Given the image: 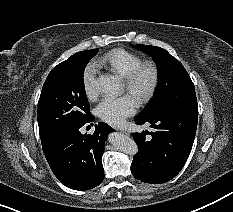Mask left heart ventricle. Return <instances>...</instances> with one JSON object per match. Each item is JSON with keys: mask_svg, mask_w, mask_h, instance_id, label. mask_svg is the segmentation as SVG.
I'll list each match as a JSON object with an SVG mask.
<instances>
[{"mask_svg": "<svg viewBox=\"0 0 233 212\" xmlns=\"http://www.w3.org/2000/svg\"><path fill=\"white\" fill-rule=\"evenodd\" d=\"M147 82H148V74H144L140 80V84H139L140 88L144 87L147 84Z\"/></svg>", "mask_w": 233, "mask_h": 212, "instance_id": "1", "label": "left heart ventricle"}]
</instances>
